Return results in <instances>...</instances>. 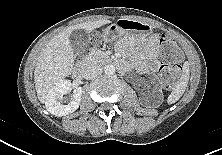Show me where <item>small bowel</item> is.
<instances>
[{"label":"small bowel","instance_id":"c3829d8e","mask_svg":"<svg viewBox=\"0 0 222 155\" xmlns=\"http://www.w3.org/2000/svg\"><path fill=\"white\" fill-rule=\"evenodd\" d=\"M120 47L124 49L123 45H120ZM157 52H158L157 38L152 37L148 41L147 46L143 50V57H141V59L139 60V68L141 70L147 67L154 69L156 67ZM145 59H147V61Z\"/></svg>","mask_w":222,"mask_h":155}]
</instances>
